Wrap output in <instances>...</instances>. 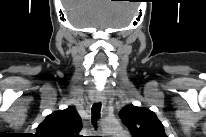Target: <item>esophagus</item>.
Returning <instances> with one entry per match:
<instances>
[{
  "instance_id": "1",
  "label": "esophagus",
  "mask_w": 206,
  "mask_h": 137,
  "mask_svg": "<svg viewBox=\"0 0 206 137\" xmlns=\"http://www.w3.org/2000/svg\"><path fill=\"white\" fill-rule=\"evenodd\" d=\"M104 96H103V94H101V93H98L97 95H96V99H95V101L97 102V103H104Z\"/></svg>"
}]
</instances>
